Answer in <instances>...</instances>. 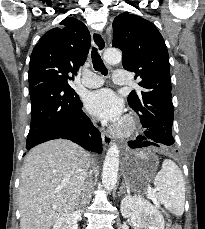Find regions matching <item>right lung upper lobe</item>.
Returning <instances> with one entry per match:
<instances>
[{
    "label": "right lung upper lobe",
    "instance_id": "1",
    "mask_svg": "<svg viewBox=\"0 0 205 229\" xmlns=\"http://www.w3.org/2000/svg\"><path fill=\"white\" fill-rule=\"evenodd\" d=\"M60 24L61 27L46 32L33 49L28 75L29 89L53 81L57 76L73 80L79 67L86 61L91 38L85 24L73 17L64 19Z\"/></svg>",
    "mask_w": 205,
    "mask_h": 229
}]
</instances>
